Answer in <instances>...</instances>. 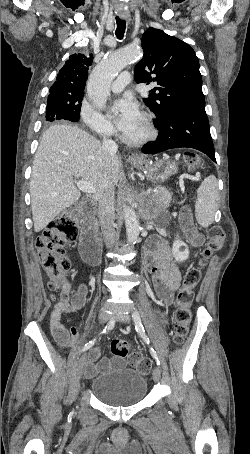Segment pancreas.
Here are the masks:
<instances>
[{"instance_id":"pancreas-1","label":"pancreas","mask_w":250,"mask_h":454,"mask_svg":"<svg viewBox=\"0 0 250 454\" xmlns=\"http://www.w3.org/2000/svg\"><path fill=\"white\" fill-rule=\"evenodd\" d=\"M157 200L160 202L161 205L167 206L171 201V194L170 193H160L157 191Z\"/></svg>"}]
</instances>
